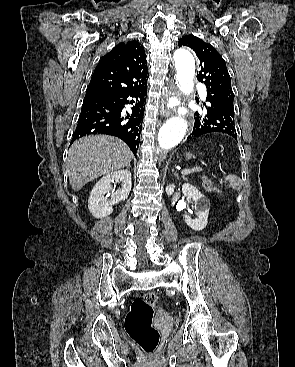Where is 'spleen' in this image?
Listing matches in <instances>:
<instances>
[{"instance_id":"1","label":"spleen","mask_w":295,"mask_h":367,"mask_svg":"<svg viewBox=\"0 0 295 367\" xmlns=\"http://www.w3.org/2000/svg\"><path fill=\"white\" fill-rule=\"evenodd\" d=\"M228 182L229 187L238 190L241 187V179L236 175H227L224 177Z\"/></svg>"}]
</instances>
